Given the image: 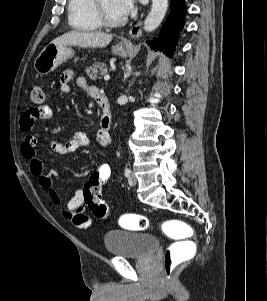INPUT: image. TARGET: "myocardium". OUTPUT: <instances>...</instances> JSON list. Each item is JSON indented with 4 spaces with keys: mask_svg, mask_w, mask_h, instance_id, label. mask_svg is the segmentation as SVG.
<instances>
[{
    "mask_svg": "<svg viewBox=\"0 0 267 301\" xmlns=\"http://www.w3.org/2000/svg\"><path fill=\"white\" fill-rule=\"evenodd\" d=\"M94 10L99 23L104 27L115 28L122 26L125 23L124 19H109L102 8L101 0H94Z\"/></svg>",
    "mask_w": 267,
    "mask_h": 301,
    "instance_id": "myocardium-1",
    "label": "myocardium"
}]
</instances>
